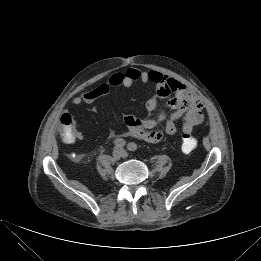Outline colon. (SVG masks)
I'll return each mask as SVG.
<instances>
[{"instance_id":"1","label":"colon","mask_w":261,"mask_h":261,"mask_svg":"<svg viewBox=\"0 0 261 261\" xmlns=\"http://www.w3.org/2000/svg\"><path fill=\"white\" fill-rule=\"evenodd\" d=\"M60 128L62 139L66 143H72L76 136L77 122L68 112L60 117ZM197 146V140L190 133H183L181 136V148L185 153L192 152Z\"/></svg>"}]
</instances>
